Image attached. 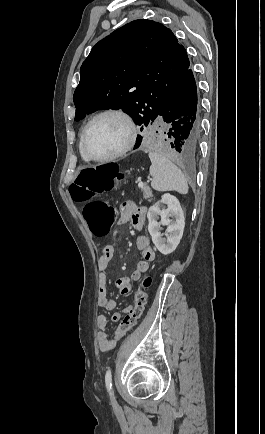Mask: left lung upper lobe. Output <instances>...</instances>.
<instances>
[{
    "label": "left lung upper lobe",
    "instance_id": "left-lung-upper-lobe-1",
    "mask_svg": "<svg viewBox=\"0 0 265 434\" xmlns=\"http://www.w3.org/2000/svg\"><path fill=\"white\" fill-rule=\"evenodd\" d=\"M190 63L173 32L159 22L135 20L99 41L80 69L75 120L100 109H122L137 125L158 116Z\"/></svg>",
    "mask_w": 265,
    "mask_h": 434
}]
</instances>
